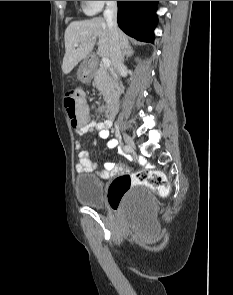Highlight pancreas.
<instances>
[{"instance_id": "pancreas-1", "label": "pancreas", "mask_w": 233, "mask_h": 295, "mask_svg": "<svg viewBox=\"0 0 233 295\" xmlns=\"http://www.w3.org/2000/svg\"><path fill=\"white\" fill-rule=\"evenodd\" d=\"M94 84L106 100H110L116 91L115 76L105 67H100L96 71Z\"/></svg>"}]
</instances>
